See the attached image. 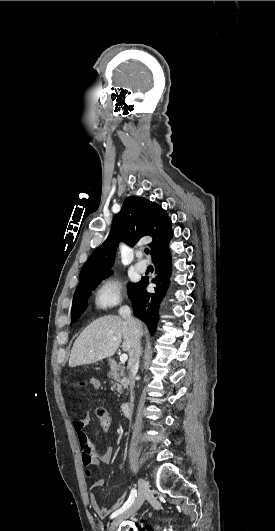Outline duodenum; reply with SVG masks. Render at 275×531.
Wrapping results in <instances>:
<instances>
[{
    "mask_svg": "<svg viewBox=\"0 0 275 531\" xmlns=\"http://www.w3.org/2000/svg\"><path fill=\"white\" fill-rule=\"evenodd\" d=\"M108 363H109V366H110V368H111L112 370L115 371V370L118 369V363H117V361H116L114 358L110 357V358L108 359ZM130 409H131V404H130L129 401L123 402V403L120 405V410H121L122 415H127V414H129Z\"/></svg>",
    "mask_w": 275,
    "mask_h": 531,
    "instance_id": "1",
    "label": "duodenum"
}]
</instances>
